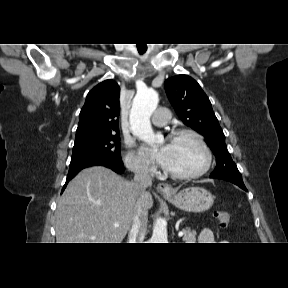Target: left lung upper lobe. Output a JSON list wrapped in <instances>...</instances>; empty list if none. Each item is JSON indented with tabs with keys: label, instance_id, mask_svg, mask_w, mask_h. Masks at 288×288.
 Instances as JSON below:
<instances>
[{
	"label": "left lung upper lobe",
	"instance_id": "5c2ea615",
	"mask_svg": "<svg viewBox=\"0 0 288 288\" xmlns=\"http://www.w3.org/2000/svg\"><path fill=\"white\" fill-rule=\"evenodd\" d=\"M169 101L179 118L206 138L207 145L216 157V168L211 178L243 182L236 164L225 144V135L213 112L209 98L196 80L187 75H177L165 81Z\"/></svg>",
	"mask_w": 288,
	"mask_h": 288
}]
</instances>
